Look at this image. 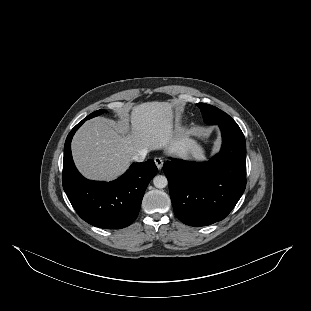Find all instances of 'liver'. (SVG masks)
<instances>
[{
	"mask_svg": "<svg viewBox=\"0 0 311 311\" xmlns=\"http://www.w3.org/2000/svg\"><path fill=\"white\" fill-rule=\"evenodd\" d=\"M170 108L167 103H144L135 107L132 115L126 113L124 126L100 118L87 121L72 144L80 171L89 178L109 180L123 172L142 150L169 144L171 151L197 152L189 138L171 141Z\"/></svg>",
	"mask_w": 311,
	"mask_h": 311,
	"instance_id": "obj_1",
	"label": "liver"
}]
</instances>
